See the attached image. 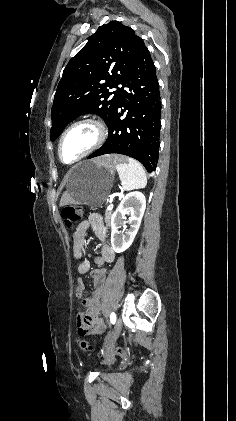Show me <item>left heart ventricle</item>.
Instances as JSON below:
<instances>
[{
  "instance_id": "obj_1",
  "label": "left heart ventricle",
  "mask_w": 236,
  "mask_h": 421,
  "mask_svg": "<svg viewBox=\"0 0 236 421\" xmlns=\"http://www.w3.org/2000/svg\"><path fill=\"white\" fill-rule=\"evenodd\" d=\"M96 131L91 126H80L72 130L64 139L61 158L65 163L74 162L95 141Z\"/></svg>"
}]
</instances>
